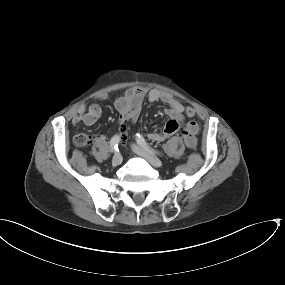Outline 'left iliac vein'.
Instances as JSON below:
<instances>
[{
	"label": "left iliac vein",
	"mask_w": 285,
	"mask_h": 285,
	"mask_svg": "<svg viewBox=\"0 0 285 285\" xmlns=\"http://www.w3.org/2000/svg\"><path fill=\"white\" fill-rule=\"evenodd\" d=\"M132 150L139 156L144 157L150 164L155 167H160L162 162L158 159L153 152L138 144L132 145Z\"/></svg>",
	"instance_id": "4c4485c4"
}]
</instances>
